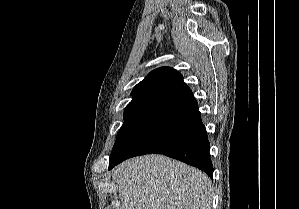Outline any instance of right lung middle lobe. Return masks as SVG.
<instances>
[{
    "instance_id": "obj_1",
    "label": "right lung middle lobe",
    "mask_w": 299,
    "mask_h": 209,
    "mask_svg": "<svg viewBox=\"0 0 299 209\" xmlns=\"http://www.w3.org/2000/svg\"><path fill=\"white\" fill-rule=\"evenodd\" d=\"M157 106L158 104L154 103H140L126 106L124 110V124L119 130L109 160L113 159L120 152L126 143L142 127Z\"/></svg>"
}]
</instances>
